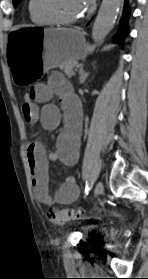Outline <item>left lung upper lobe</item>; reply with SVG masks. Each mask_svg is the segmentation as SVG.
Returning <instances> with one entry per match:
<instances>
[{"label":"left lung upper lobe","mask_w":148,"mask_h":279,"mask_svg":"<svg viewBox=\"0 0 148 279\" xmlns=\"http://www.w3.org/2000/svg\"><path fill=\"white\" fill-rule=\"evenodd\" d=\"M21 0H13V5L16 6Z\"/></svg>","instance_id":"5c2ea615"}]
</instances>
